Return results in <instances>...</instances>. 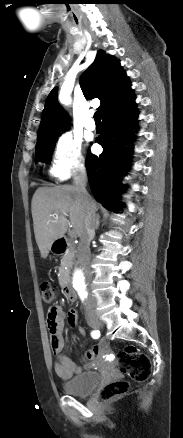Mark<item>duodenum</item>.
Masks as SVG:
<instances>
[{"label":"duodenum","mask_w":183,"mask_h":438,"mask_svg":"<svg viewBox=\"0 0 183 438\" xmlns=\"http://www.w3.org/2000/svg\"><path fill=\"white\" fill-rule=\"evenodd\" d=\"M55 248H56V253L64 254L69 248L66 238L58 239L55 242ZM63 290H64L65 295L69 301H71V302L76 301V299H77L76 292L69 282L64 283Z\"/></svg>","instance_id":"obj_1"}]
</instances>
